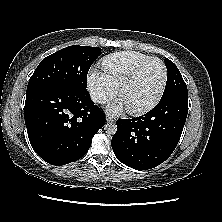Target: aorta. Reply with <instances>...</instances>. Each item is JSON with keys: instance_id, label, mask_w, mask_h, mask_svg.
I'll use <instances>...</instances> for the list:
<instances>
[{"instance_id": "762f6f07", "label": "aorta", "mask_w": 222, "mask_h": 222, "mask_svg": "<svg viewBox=\"0 0 222 222\" xmlns=\"http://www.w3.org/2000/svg\"><path fill=\"white\" fill-rule=\"evenodd\" d=\"M104 130H105L106 133L113 135L117 131V125L114 122H107L104 125Z\"/></svg>"}]
</instances>
